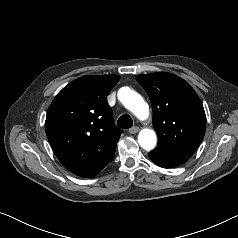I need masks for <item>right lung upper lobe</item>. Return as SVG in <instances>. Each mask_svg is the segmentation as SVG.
I'll list each match as a JSON object with an SVG mask.
<instances>
[{"mask_svg": "<svg viewBox=\"0 0 238 238\" xmlns=\"http://www.w3.org/2000/svg\"><path fill=\"white\" fill-rule=\"evenodd\" d=\"M119 75L82 76L65 86L48 108L45 129L62 165L81 177L97 175L115 155L123 132L107 95Z\"/></svg>", "mask_w": 238, "mask_h": 238, "instance_id": "right-lung-upper-lobe-1", "label": "right lung upper lobe"}]
</instances>
